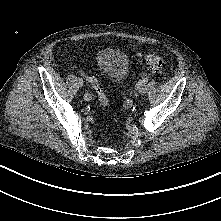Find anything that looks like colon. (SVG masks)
<instances>
[{
  "instance_id": "obj_1",
  "label": "colon",
  "mask_w": 221,
  "mask_h": 221,
  "mask_svg": "<svg viewBox=\"0 0 221 221\" xmlns=\"http://www.w3.org/2000/svg\"><path fill=\"white\" fill-rule=\"evenodd\" d=\"M142 61L153 73L158 75L162 73L164 61L160 55L148 53L143 56ZM88 79L92 87L96 91V95L100 105L106 108L108 106V100L101 83L93 76H90Z\"/></svg>"
}]
</instances>
